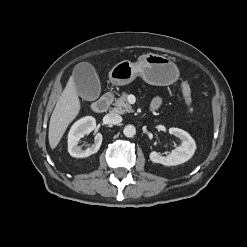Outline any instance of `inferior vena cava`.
<instances>
[{
  "mask_svg": "<svg viewBox=\"0 0 247 247\" xmlns=\"http://www.w3.org/2000/svg\"><path fill=\"white\" fill-rule=\"evenodd\" d=\"M104 119H105V122L108 124L115 125V124H119L122 122V117L119 114L113 113V112H110L107 115H105Z\"/></svg>",
  "mask_w": 247,
  "mask_h": 247,
  "instance_id": "1",
  "label": "inferior vena cava"
}]
</instances>
